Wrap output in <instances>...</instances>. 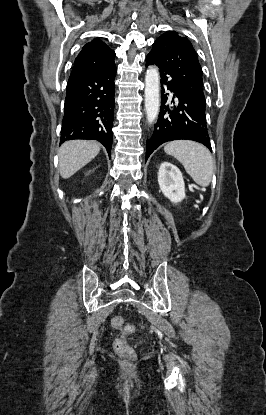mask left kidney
Here are the masks:
<instances>
[{"instance_id": "obj_1", "label": "left kidney", "mask_w": 266, "mask_h": 415, "mask_svg": "<svg viewBox=\"0 0 266 415\" xmlns=\"http://www.w3.org/2000/svg\"><path fill=\"white\" fill-rule=\"evenodd\" d=\"M158 184L161 192L172 203L185 198V184L181 171L169 162H163L158 171Z\"/></svg>"}]
</instances>
